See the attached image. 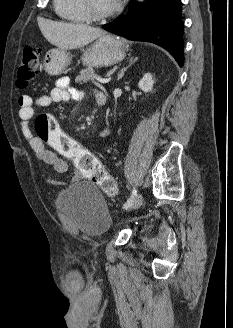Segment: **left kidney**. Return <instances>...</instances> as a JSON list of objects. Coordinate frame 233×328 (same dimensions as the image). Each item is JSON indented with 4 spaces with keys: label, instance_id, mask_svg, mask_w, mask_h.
<instances>
[{
    "label": "left kidney",
    "instance_id": "1",
    "mask_svg": "<svg viewBox=\"0 0 233 328\" xmlns=\"http://www.w3.org/2000/svg\"><path fill=\"white\" fill-rule=\"evenodd\" d=\"M154 84L153 76L151 73H146L143 78L139 81L138 86L139 88L144 91L145 93H148L152 91Z\"/></svg>",
    "mask_w": 233,
    "mask_h": 328
}]
</instances>
